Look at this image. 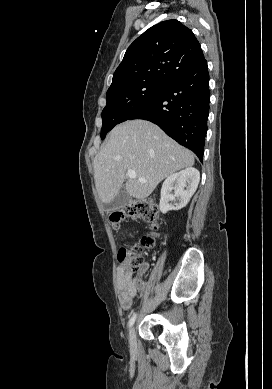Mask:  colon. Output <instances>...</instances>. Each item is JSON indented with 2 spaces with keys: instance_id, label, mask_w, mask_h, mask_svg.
Listing matches in <instances>:
<instances>
[{
  "instance_id": "5ec220e1",
  "label": "colon",
  "mask_w": 272,
  "mask_h": 389,
  "mask_svg": "<svg viewBox=\"0 0 272 389\" xmlns=\"http://www.w3.org/2000/svg\"><path fill=\"white\" fill-rule=\"evenodd\" d=\"M109 221L115 228L119 227L125 218L143 219L151 223L153 230L157 229V206L155 203L143 200H134L120 210L111 211ZM155 234L143 236L139 242L121 248L119 261L125 264L131 271H139L143 265V255L155 245Z\"/></svg>"
}]
</instances>
